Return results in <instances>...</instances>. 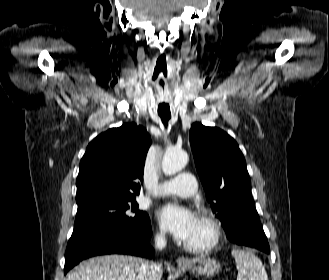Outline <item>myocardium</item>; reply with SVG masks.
Here are the masks:
<instances>
[{"instance_id":"myocardium-1","label":"myocardium","mask_w":329,"mask_h":280,"mask_svg":"<svg viewBox=\"0 0 329 280\" xmlns=\"http://www.w3.org/2000/svg\"><path fill=\"white\" fill-rule=\"evenodd\" d=\"M198 218L208 228L210 232L209 240L201 245L185 243V248L192 253L204 254L218 246L222 237V229L217 220L206 211H201Z\"/></svg>"}]
</instances>
